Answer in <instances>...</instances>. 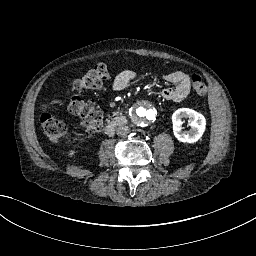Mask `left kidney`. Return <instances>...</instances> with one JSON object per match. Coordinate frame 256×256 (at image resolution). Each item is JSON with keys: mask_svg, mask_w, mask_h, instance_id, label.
Wrapping results in <instances>:
<instances>
[{"mask_svg": "<svg viewBox=\"0 0 256 256\" xmlns=\"http://www.w3.org/2000/svg\"><path fill=\"white\" fill-rule=\"evenodd\" d=\"M188 118L191 129L182 131V119ZM173 134L182 143L193 144L201 139L206 130V119L203 114L190 109L179 108L172 115Z\"/></svg>", "mask_w": 256, "mask_h": 256, "instance_id": "left-kidney-1", "label": "left kidney"}]
</instances>
